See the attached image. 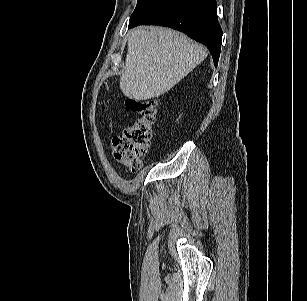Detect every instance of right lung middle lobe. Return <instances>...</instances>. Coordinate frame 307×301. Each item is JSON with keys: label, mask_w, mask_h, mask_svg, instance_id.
Here are the masks:
<instances>
[{"label": "right lung middle lobe", "mask_w": 307, "mask_h": 301, "mask_svg": "<svg viewBox=\"0 0 307 301\" xmlns=\"http://www.w3.org/2000/svg\"><path fill=\"white\" fill-rule=\"evenodd\" d=\"M165 1L166 0H138L137 6L130 17L129 24L135 22L142 16L157 8Z\"/></svg>", "instance_id": "obj_1"}]
</instances>
